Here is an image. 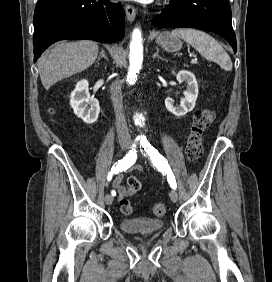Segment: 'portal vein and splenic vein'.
<instances>
[{"mask_svg":"<svg viewBox=\"0 0 272 282\" xmlns=\"http://www.w3.org/2000/svg\"><path fill=\"white\" fill-rule=\"evenodd\" d=\"M198 59L194 56V58L191 60V63H197Z\"/></svg>","mask_w":272,"mask_h":282,"instance_id":"portal-vein-and-splenic-vein-1","label":"portal vein and splenic vein"}]
</instances>
